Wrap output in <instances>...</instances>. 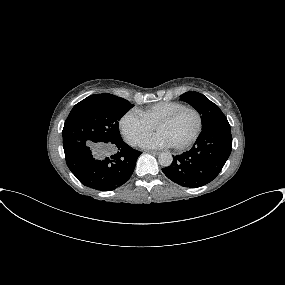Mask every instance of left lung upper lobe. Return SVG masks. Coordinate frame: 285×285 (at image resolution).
Listing matches in <instances>:
<instances>
[{"label": "left lung upper lobe", "instance_id": "left-lung-upper-lobe-1", "mask_svg": "<svg viewBox=\"0 0 285 285\" xmlns=\"http://www.w3.org/2000/svg\"><path fill=\"white\" fill-rule=\"evenodd\" d=\"M181 100L192 105L200 114L202 127L213 124H227L228 120L219 107L198 92H186L182 94Z\"/></svg>", "mask_w": 285, "mask_h": 285}]
</instances>
